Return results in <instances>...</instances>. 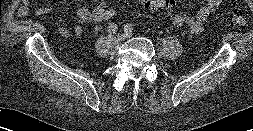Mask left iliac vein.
Here are the masks:
<instances>
[{"instance_id":"1","label":"left iliac vein","mask_w":253,"mask_h":131,"mask_svg":"<svg viewBox=\"0 0 253 131\" xmlns=\"http://www.w3.org/2000/svg\"><path fill=\"white\" fill-rule=\"evenodd\" d=\"M125 36H126V37H131L132 34H131V33H126Z\"/></svg>"}]
</instances>
